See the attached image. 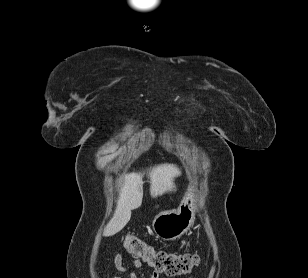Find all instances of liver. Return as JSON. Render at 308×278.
<instances>
[{
    "label": "liver",
    "mask_w": 308,
    "mask_h": 278,
    "mask_svg": "<svg viewBox=\"0 0 308 278\" xmlns=\"http://www.w3.org/2000/svg\"><path fill=\"white\" fill-rule=\"evenodd\" d=\"M144 173H130L122 177L123 184L119 193L117 207L113 217L104 229L103 235L113 236L121 231L131 218V211L142 204ZM181 175V171L174 164H160L150 168V195L153 198L167 192L176 191L174 179Z\"/></svg>",
    "instance_id": "1"
}]
</instances>
